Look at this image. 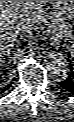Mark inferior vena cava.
I'll return each mask as SVG.
<instances>
[{
    "label": "inferior vena cava",
    "instance_id": "602c4592",
    "mask_svg": "<svg viewBox=\"0 0 74 122\" xmlns=\"http://www.w3.org/2000/svg\"><path fill=\"white\" fill-rule=\"evenodd\" d=\"M18 29H19L20 31H22V30L24 29V25L21 24V23H19V24H18Z\"/></svg>",
    "mask_w": 74,
    "mask_h": 122
}]
</instances>
